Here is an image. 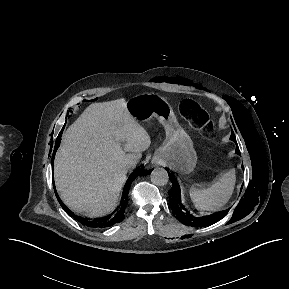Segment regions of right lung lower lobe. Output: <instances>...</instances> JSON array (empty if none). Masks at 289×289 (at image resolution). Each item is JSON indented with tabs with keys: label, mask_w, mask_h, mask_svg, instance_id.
Here are the masks:
<instances>
[{
	"label": "right lung lower lobe",
	"mask_w": 289,
	"mask_h": 289,
	"mask_svg": "<svg viewBox=\"0 0 289 289\" xmlns=\"http://www.w3.org/2000/svg\"><path fill=\"white\" fill-rule=\"evenodd\" d=\"M61 139H59V137L56 140L55 143V149H54V153H53V159H52V164L54 161V156L56 153V150L59 147ZM145 173H148V171L146 172L145 170H143L142 168L138 167L136 168L133 173L129 176L124 189H123V193H122V198H121V204L119 207H117L110 215L102 217V218H98L95 220H87L84 219L82 217L76 216L72 211H70L61 201V199L59 198L57 192H56V196L57 199L59 201V203L61 204L62 208L70 215L72 216L74 219H76L77 221H79L81 224L86 225L88 227H93V228H104V227H109L112 226L115 223L121 222L123 220L124 217V211L128 202V192H129V188L131 183L133 182V180L139 176V175H143Z\"/></svg>",
	"instance_id": "obj_1"
}]
</instances>
